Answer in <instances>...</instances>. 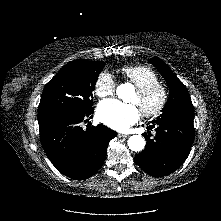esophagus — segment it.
I'll use <instances>...</instances> for the list:
<instances>
[{
  "mask_svg": "<svg viewBox=\"0 0 221 221\" xmlns=\"http://www.w3.org/2000/svg\"><path fill=\"white\" fill-rule=\"evenodd\" d=\"M118 137L119 138H127V137H129V135H127V134H118Z\"/></svg>",
  "mask_w": 221,
  "mask_h": 221,
  "instance_id": "obj_1",
  "label": "esophagus"
}]
</instances>
